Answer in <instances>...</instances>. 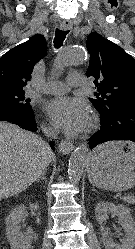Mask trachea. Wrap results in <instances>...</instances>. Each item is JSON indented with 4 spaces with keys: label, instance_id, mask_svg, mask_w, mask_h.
Segmentation results:
<instances>
[{
    "label": "trachea",
    "instance_id": "1",
    "mask_svg": "<svg viewBox=\"0 0 135 249\" xmlns=\"http://www.w3.org/2000/svg\"><path fill=\"white\" fill-rule=\"evenodd\" d=\"M69 33V30H60L56 29L55 38H54V47L60 48L63 45V42L66 38V35Z\"/></svg>",
    "mask_w": 135,
    "mask_h": 249
}]
</instances>
